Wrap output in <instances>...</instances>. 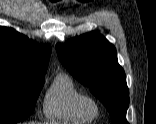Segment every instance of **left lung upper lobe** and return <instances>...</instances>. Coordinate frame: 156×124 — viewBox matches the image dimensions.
Returning <instances> with one entry per match:
<instances>
[{
    "instance_id": "obj_1",
    "label": "left lung upper lobe",
    "mask_w": 156,
    "mask_h": 124,
    "mask_svg": "<svg viewBox=\"0 0 156 124\" xmlns=\"http://www.w3.org/2000/svg\"><path fill=\"white\" fill-rule=\"evenodd\" d=\"M62 65L106 106L113 124H129V90L116 49L104 36L87 33L56 45Z\"/></svg>"
}]
</instances>
